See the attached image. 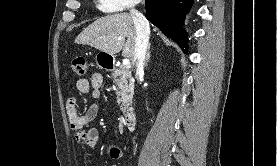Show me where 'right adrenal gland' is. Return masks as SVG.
Returning a JSON list of instances; mask_svg holds the SVG:
<instances>
[{"mask_svg": "<svg viewBox=\"0 0 277 166\" xmlns=\"http://www.w3.org/2000/svg\"><path fill=\"white\" fill-rule=\"evenodd\" d=\"M150 44L148 45V51H147V55H146V60H145V66H147L149 60H150Z\"/></svg>", "mask_w": 277, "mask_h": 166, "instance_id": "1", "label": "right adrenal gland"}]
</instances>
